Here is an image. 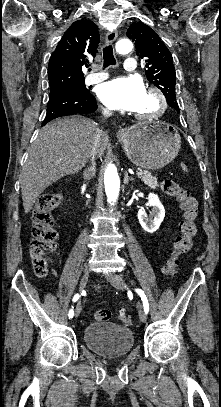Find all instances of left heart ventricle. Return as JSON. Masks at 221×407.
<instances>
[{"label": "left heart ventricle", "instance_id": "1", "mask_svg": "<svg viewBox=\"0 0 221 407\" xmlns=\"http://www.w3.org/2000/svg\"><path fill=\"white\" fill-rule=\"evenodd\" d=\"M156 107L157 103L155 98L146 92L141 105L136 110V113H151L156 110Z\"/></svg>", "mask_w": 221, "mask_h": 407}]
</instances>
